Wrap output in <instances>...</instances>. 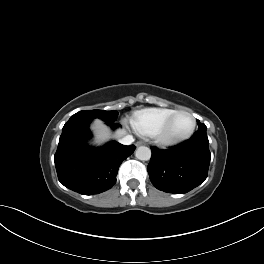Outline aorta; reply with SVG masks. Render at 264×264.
<instances>
[{"instance_id": "1", "label": "aorta", "mask_w": 264, "mask_h": 264, "mask_svg": "<svg viewBox=\"0 0 264 264\" xmlns=\"http://www.w3.org/2000/svg\"><path fill=\"white\" fill-rule=\"evenodd\" d=\"M135 156L139 160L147 161L151 158V150L148 147L140 146L136 149Z\"/></svg>"}]
</instances>
